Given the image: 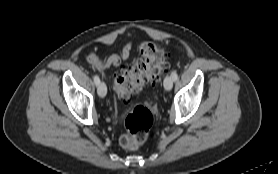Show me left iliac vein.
<instances>
[{
  "label": "left iliac vein",
  "mask_w": 278,
  "mask_h": 174,
  "mask_svg": "<svg viewBox=\"0 0 278 174\" xmlns=\"http://www.w3.org/2000/svg\"><path fill=\"white\" fill-rule=\"evenodd\" d=\"M173 87V79L171 76H166L164 79V88L167 91H170Z\"/></svg>",
  "instance_id": "left-iliac-vein-1"
}]
</instances>
